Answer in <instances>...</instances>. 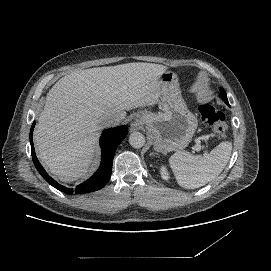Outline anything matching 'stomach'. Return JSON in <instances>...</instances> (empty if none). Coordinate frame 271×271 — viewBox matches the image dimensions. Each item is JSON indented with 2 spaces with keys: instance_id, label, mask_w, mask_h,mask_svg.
I'll use <instances>...</instances> for the list:
<instances>
[{
  "instance_id": "0dacf381",
  "label": "stomach",
  "mask_w": 271,
  "mask_h": 271,
  "mask_svg": "<svg viewBox=\"0 0 271 271\" xmlns=\"http://www.w3.org/2000/svg\"><path fill=\"white\" fill-rule=\"evenodd\" d=\"M162 113L139 111V121L153 137L154 150L163 154L185 149L197 128V118L189 112L180 97L177 77L164 72L160 78Z\"/></svg>"
}]
</instances>
